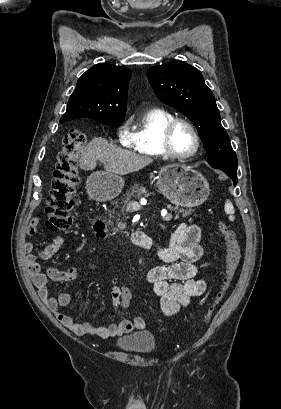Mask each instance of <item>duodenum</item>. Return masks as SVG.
<instances>
[{"instance_id": "1", "label": "duodenum", "mask_w": 281, "mask_h": 409, "mask_svg": "<svg viewBox=\"0 0 281 409\" xmlns=\"http://www.w3.org/2000/svg\"><path fill=\"white\" fill-rule=\"evenodd\" d=\"M106 228V224L103 219H98L94 223V230L97 234H102ZM131 242L141 248L147 249L149 247V238L140 232L131 234Z\"/></svg>"}]
</instances>
